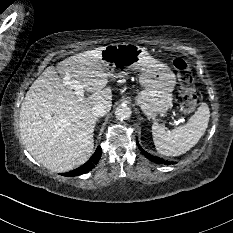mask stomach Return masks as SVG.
Segmentation results:
<instances>
[{
	"instance_id": "0dacf381",
	"label": "stomach",
	"mask_w": 233,
	"mask_h": 233,
	"mask_svg": "<svg viewBox=\"0 0 233 233\" xmlns=\"http://www.w3.org/2000/svg\"><path fill=\"white\" fill-rule=\"evenodd\" d=\"M101 61L113 78L132 71L139 72V81L144 89L136 102L148 118L165 113L171 107L175 75L166 64L150 56L145 47L133 43L111 44L102 51Z\"/></svg>"
}]
</instances>
